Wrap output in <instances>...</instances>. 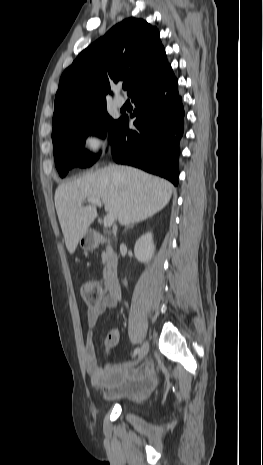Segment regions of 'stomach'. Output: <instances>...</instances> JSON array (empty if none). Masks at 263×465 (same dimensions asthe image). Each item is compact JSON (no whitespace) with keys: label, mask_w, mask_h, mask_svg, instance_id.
I'll list each match as a JSON object with an SVG mask.
<instances>
[{"label":"stomach","mask_w":263,"mask_h":465,"mask_svg":"<svg viewBox=\"0 0 263 465\" xmlns=\"http://www.w3.org/2000/svg\"><path fill=\"white\" fill-rule=\"evenodd\" d=\"M80 246L85 250H93L98 245L97 236L92 232H85L79 240Z\"/></svg>","instance_id":"obj_1"}]
</instances>
